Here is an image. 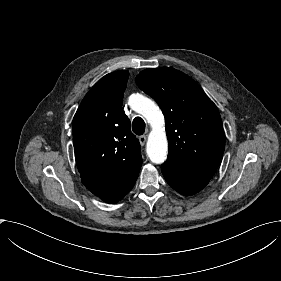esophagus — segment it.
I'll use <instances>...</instances> for the list:
<instances>
[{"mask_svg":"<svg viewBox=\"0 0 281 281\" xmlns=\"http://www.w3.org/2000/svg\"><path fill=\"white\" fill-rule=\"evenodd\" d=\"M139 141H140L141 145L144 146L146 141H147V136L146 135H141L139 137Z\"/></svg>","mask_w":281,"mask_h":281,"instance_id":"obj_1","label":"esophagus"}]
</instances>
